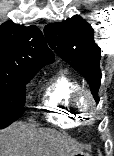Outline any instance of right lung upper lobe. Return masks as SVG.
I'll use <instances>...</instances> for the list:
<instances>
[{
  "label": "right lung upper lobe",
  "instance_id": "obj_1",
  "mask_svg": "<svg viewBox=\"0 0 114 156\" xmlns=\"http://www.w3.org/2000/svg\"><path fill=\"white\" fill-rule=\"evenodd\" d=\"M53 61L54 54L36 26L12 21L0 25V73L36 74Z\"/></svg>",
  "mask_w": 114,
  "mask_h": 156
}]
</instances>
